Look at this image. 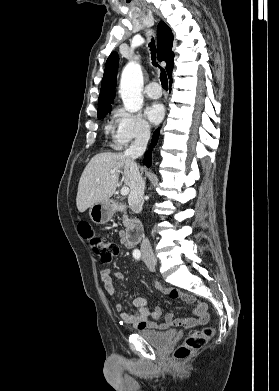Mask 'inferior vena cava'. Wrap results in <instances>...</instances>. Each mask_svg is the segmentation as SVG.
<instances>
[{
	"mask_svg": "<svg viewBox=\"0 0 279 391\" xmlns=\"http://www.w3.org/2000/svg\"><path fill=\"white\" fill-rule=\"evenodd\" d=\"M150 138V128L144 127L137 135L131 146L125 150L124 156L129 158L130 172H131V191L128 198V203L131 210L134 213H140L143 206V196L145 189V181L139 172L138 166L135 163V159L142 156L146 150L147 143ZM142 254L153 255V251L150 242L147 238H144L141 243Z\"/></svg>",
	"mask_w": 279,
	"mask_h": 391,
	"instance_id": "602c4592",
	"label": "inferior vena cava"
}]
</instances>
